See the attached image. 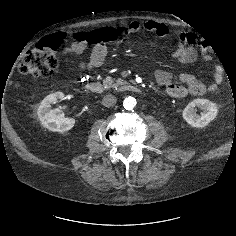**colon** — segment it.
Wrapping results in <instances>:
<instances>
[{"label": "colon", "instance_id": "1", "mask_svg": "<svg viewBox=\"0 0 236 236\" xmlns=\"http://www.w3.org/2000/svg\"><path fill=\"white\" fill-rule=\"evenodd\" d=\"M119 35L120 29L102 28L87 33H77L76 40L85 41L88 44L99 45L113 42ZM63 38L58 34L46 37L33 50H31L20 63V72L37 79L52 75L58 67L56 50L62 43Z\"/></svg>", "mask_w": 236, "mask_h": 236}]
</instances>
